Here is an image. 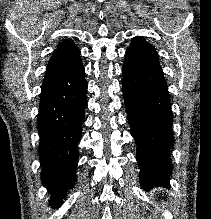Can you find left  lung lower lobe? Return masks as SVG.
<instances>
[{"label": "left lung lower lobe", "mask_w": 211, "mask_h": 219, "mask_svg": "<svg viewBox=\"0 0 211 219\" xmlns=\"http://www.w3.org/2000/svg\"><path fill=\"white\" fill-rule=\"evenodd\" d=\"M122 89L132 136L137 145L140 183L148 190L167 186L171 175L173 115L167 84L155 48L133 38L125 53Z\"/></svg>", "instance_id": "1"}]
</instances>
